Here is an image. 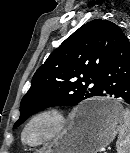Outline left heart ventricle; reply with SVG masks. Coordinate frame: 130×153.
<instances>
[{
    "label": "left heart ventricle",
    "mask_w": 130,
    "mask_h": 153,
    "mask_svg": "<svg viewBox=\"0 0 130 153\" xmlns=\"http://www.w3.org/2000/svg\"><path fill=\"white\" fill-rule=\"evenodd\" d=\"M50 128V125L46 121L35 123L28 131L27 137L30 140H36L43 136Z\"/></svg>",
    "instance_id": "left-heart-ventricle-1"
}]
</instances>
